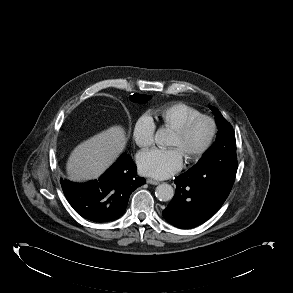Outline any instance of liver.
<instances>
[{"mask_svg": "<svg viewBox=\"0 0 293 293\" xmlns=\"http://www.w3.org/2000/svg\"><path fill=\"white\" fill-rule=\"evenodd\" d=\"M125 129L112 126L79 144L70 154L66 170L74 182L97 179L124 150Z\"/></svg>", "mask_w": 293, "mask_h": 293, "instance_id": "obj_1", "label": "liver"}]
</instances>
